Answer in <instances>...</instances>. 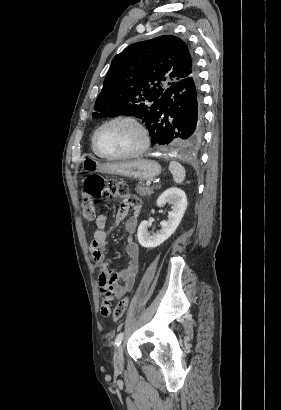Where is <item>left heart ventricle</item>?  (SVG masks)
I'll list each match as a JSON object with an SVG mask.
<instances>
[{"label": "left heart ventricle", "mask_w": 281, "mask_h": 410, "mask_svg": "<svg viewBox=\"0 0 281 410\" xmlns=\"http://www.w3.org/2000/svg\"><path fill=\"white\" fill-rule=\"evenodd\" d=\"M141 143L137 128L127 122H116L104 127L98 135V146L108 155H123L134 151Z\"/></svg>", "instance_id": "b2bd125f"}]
</instances>
